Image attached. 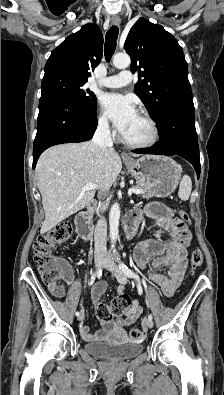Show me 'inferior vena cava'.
Masks as SVG:
<instances>
[{"label":"inferior vena cava","mask_w":224,"mask_h":395,"mask_svg":"<svg viewBox=\"0 0 224 395\" xmlns=\"http://www.w3.org/2000/svg\"><path fill=\"white\" fill-rule=\"evenodd\" d=\"M98 145L102 152H106L113 149V142L111 138V132L107 119L101 120L98 123L97 129L92 140ZM107 239V223L105 217H101L95 226L94 241H95V253L100 254L106 251Z\"/></svg>","instance_id":"602c4592"}]
</instances>
